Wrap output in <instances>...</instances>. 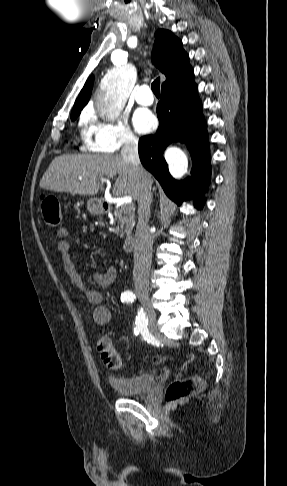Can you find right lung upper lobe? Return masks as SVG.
<instances>
[{
	"instance_id": "right-lung-upper-lobe-1",
	"label": "right lung upper lobe",
	"mask_w": 287,
	"mask_h": 486,
	"mask_svg": "<svg viewBox=\"0 0 287 486\" xmlns=\"http://www.w3.org/2000/svg\"><path fill=\"white\" fill-rule=\"evenodd\" d=\"M154 64L166 76L162 88L172 87L193 76V69L189 64V56L182 49V41L170 31L158 29L155 32L153 49ZM94 77L90 76L75 101L72 113H80L88 103Z\"/></svg>"
}]
</instances>
